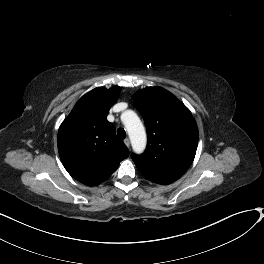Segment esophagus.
Segmentation results:
<instances>
[{
  "label": "esophagus",
  "instance_id": "34e87169",
  "mask_svg": "<svg viewBox=\"0 0 264 264\" xmlns=\"http://www.w3.org/2000/svg\"><path fill=\"white\" fill-rule=\"evenodd\" d=\"M124 144L129 148L130 147V140L128 138L124 139Z\"/></svg>",
  "mask_w": 264,
  "mask_h": 264
}]
</instances>
